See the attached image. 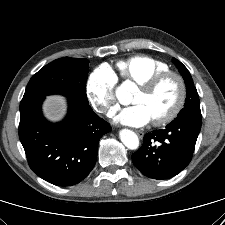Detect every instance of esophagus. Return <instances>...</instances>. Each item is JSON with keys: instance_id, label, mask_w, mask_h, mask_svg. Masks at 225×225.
Masks as SVG:
<instances>
[{"instance_id": "34e87169", "label": "esophagus", "mask_w": 225, "mask_h": 225, "mask_svg": "<svg viewBox=\"0 0 225 225\" xmlns=\"http://www.w3.org/2000/svg\"><path fill=\"white\" fill-rule=\"evenodd\" d=\"M135 132H136V134L138 135V137H139L140 139H142V138L144 137V132H143V131H141V130H136Z\"/></svg>"}]
</instances>
